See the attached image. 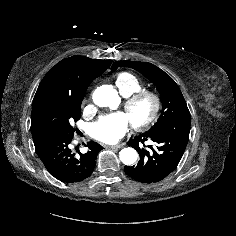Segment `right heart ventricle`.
Returning <instances> with one entry per match:
<instances>
[{
    "mask_svg": "<svg viewBox=\"0 0 236 236\" xmlns=\"http://www.w3.org/2000/svg\"><path fill=\"white\" fill-rule=\"evenodd\" d=\"M114 83L120 94L125 97L144 88L142 81L129 72H120L117 74Z\"/></svg>",
    "mask_w": 236,
    "mask_h": 236,
    "instance_id": "obj_1",
    "label": "right heart ventricle"
}]
</instances>
